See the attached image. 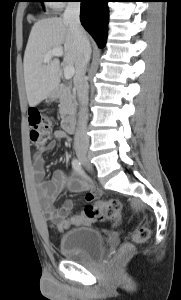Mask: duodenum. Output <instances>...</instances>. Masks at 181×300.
<instances>
[{
  "label": "duodenum",
  "mask_w": 181,
  "mask_h": 300,
  "mask_svg": "<svg viewBox=\"0 0 181 300\" xmlns=\"http://www.w3.org/2000/svg\"><path fill=\"white\" fill-rule=\"evenodd\" d=\"M57 97V89L52 91L50 94V98L54 100ZM63 128L68 134H72L74 132V121L72 116H65L63 119Z\"/></svg>",
  "instance_id": "obj_1"
}]
</instances>
